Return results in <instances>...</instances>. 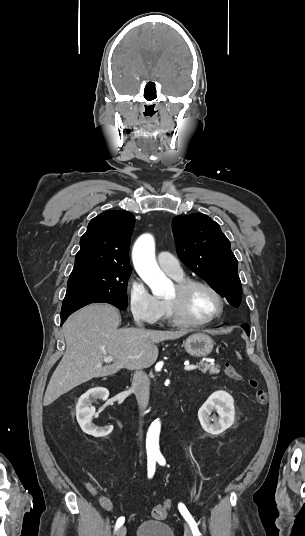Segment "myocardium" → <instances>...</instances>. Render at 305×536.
Segmentation results:
<instances>
[{
	"label": "myocardium",
	"mask_w": 305,
	"mask_h": 536,
	"mask_svg": "<svg viewBox=\"0 0 305 536\" xmlns=\"http://www.w3.org/2000/svg\"><path fill=\"white\" fill-rule=\"evenodd\" d=\"M196 287H204L212 291L220 300L221 308L219 313L205 321H191L188 319L186 312H185V306H184V300L186 296L194 290ZM176 296L172 299H166V303L173 314L176 321L188 328H204L208 327L215 322L219 321L226 313L228 302L225 296L222 294V292L217 289L212 284L198 280V279H185L183 281H178L176 284Z\"/></svg>",
	"instance_id": "myocardium-1"
}]
</instances>
